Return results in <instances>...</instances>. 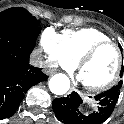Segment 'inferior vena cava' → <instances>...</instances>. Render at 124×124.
<instances>
[{
	"label": "inferior vena cava",
	"instance_id": "602c4592",
	"mask_svg": "<svg viewBox=\"0 0 124 124\" xmlns=\"http://www.w3.org/2000/svg\"><path fill=\"white\" fill-rule=\"evenodd\" d=\"M30 64L35 67H42L44 65L42 55L39 53H33L30 58Z\"/></svg>",
	"mask_w": 124,
	"mask_h": 124
}]
</instances>
